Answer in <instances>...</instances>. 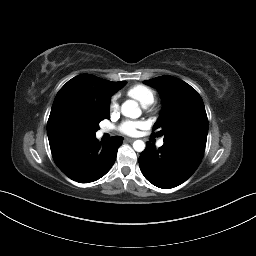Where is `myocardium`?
Wrapping results in <instances>:
<instances>
[{
  "label": "myocardium",
  "mask_w": 256,
  "mask_h": 256,
  "mask_svg": "<svg viewBox=\"0 0 256 256\" xmlns=\"http://www.w3.org/2000/svg\"><path fill=\"white\" fill-rule=\"evenodd\" d=\"M152 104H153V103H152ZM152 104H150V105L147 106L150 111H154V110H155V107H154Z\"/></svg>",
  "instance_id": "f54148a6"
}]
</instances>
